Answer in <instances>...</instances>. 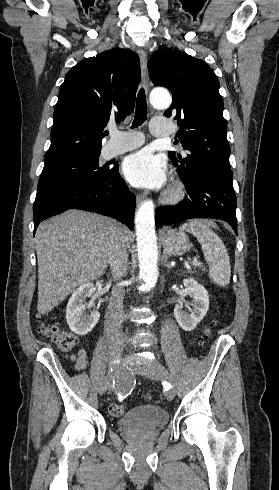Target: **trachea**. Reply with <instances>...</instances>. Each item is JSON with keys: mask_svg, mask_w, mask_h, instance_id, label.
Listing matches in <instances>:
<instances>
[{"mask_svg": "<svg viewBox=\"0 0 279 490\" xmlns=\"http://www.w3.org/2000/svg\"><path fill=\"white\" fill-rule=\"evenodd\" d=\"M147 119V104H146V95L145 91L142 88L137 96V105H136V111H135V118L133 121V126L138 127L139 125H142L145 120ZM108 134V132H107Z\"/></svg>", "mask_w": 279, "mask_h": 490, "instance_id": "obj_1", "label": "trachea"}]
</instances>
